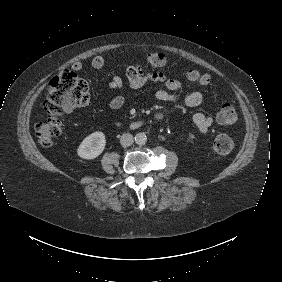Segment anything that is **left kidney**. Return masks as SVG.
I'll use <instances>...</instances> for the list:
<instances>
[{"mask_svg": "<svg viewBox=\"0 0 282 282\" xmlns=\"http://www.w3.org/2000/svg\"><path fill=\"white\" fill-rule=\"evenodd\" d=\"M189 138H190V139H194V135H193V134H190V135H189Z\"/></svg>", "mask_w": 282, "mask_h": 282, "instance_id": "5707ae66", "label": "left kidney"}]
</instances>
